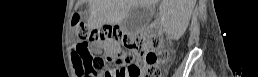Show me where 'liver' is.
Segmentation results:
<instances>
[{
    "label": "liver",
    "mask_w": 258,
    "mask_h": 77,
    "mask_svg": "<svg viewBox=\"0 0 258 77\" xmlns=\"http://www.w3.org/2000/svg\"><path fill=\"white\" fill-rule=\"evenodd\" d=\"M158 2L159 0H90L89 25L97 28L104 24H120L132 8L143 6L150 9ZM195 3L196 0H163L161 6L174 8L180 16V22L186 26Z\"/></svg>",
    "instance_id": "1"
}]
</instances>
